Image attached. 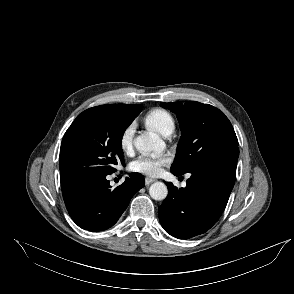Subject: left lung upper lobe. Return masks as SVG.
I'll use <instances>...</instances> for the list:
<instances>
[{"mask_svg":"<svg viewBox=\"0 0 294 294\" xmlns=\"http://www.w3.org/2000/svg\"><path fill=\"white\" fill-rule=\"evenodd\" d=\"M161 106L176 113L182 132L172 173H191L211 157L238 146L232 124L216 107L196 101Z\"/></svg>","mask_w":294,"mask_h":294,"instance_id":"left-lung-upper-lobe-1","label":"left lung upper lobe"}]
</instances>
